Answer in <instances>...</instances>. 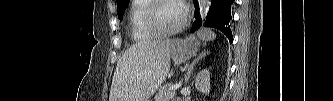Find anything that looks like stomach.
<instances>
[{"mask_svg":"<svg viewBox=\"0 0 333 101\" xmlns=\"http://www.w3.org/2000/svg\"><path fill=\"white\" fill-rule=\"evenodd\" d=\"M200 40L191 35L183 40H174L171 45V55L175 64L179 65L190 60L199 51Z\"/></svg>","mask_w":333,"mask_h":101,"instance_id":"stomach-1","label":"stomach"}]
</instances>
